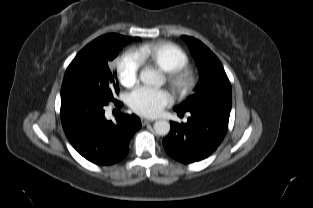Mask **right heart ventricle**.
Wrapping results in <instances>:
<instances>
[{"label": "right heart ventricle", "instance_id": "obj_1", "mask_svg": "<svg viewBox=\"0 0 313 208\" xmlns=\"http://www.w3.org/2000/svg\"><path fill=\"white\" fill-rule=\"evenodd\" d=\"M136 53L141 61H147L167 73L185 67L189 61L187 54L170 42L144 44L138 47Z\"/></svg>", "mask_w": 313, "mask_h": 208}]
</instances>
